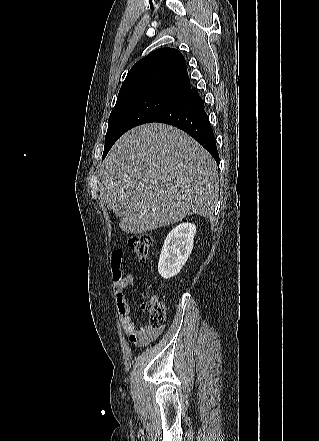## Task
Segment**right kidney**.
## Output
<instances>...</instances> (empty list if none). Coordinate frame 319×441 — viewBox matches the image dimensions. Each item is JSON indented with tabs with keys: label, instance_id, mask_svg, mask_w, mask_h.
Returning a JSON list of instances; mask_svg holds the SVG:
<instances>
[{
	"label": "right kidney",
	"instance_id": "1",
	"mask_svg": "<svg viewBox=\"0 0 319 441\" xmlns=\"http://www.w3.org/2000/svg\"><path fill=\"white\" fill-rule=\"evenodd\" d=\"M196 226L181 223L167 235L159 258L158 272L164 279L177 275L186 263L192 249Z\"/></svg>",
	"mask_w": 319,
	"mask_h": 441
}]
</instances>
